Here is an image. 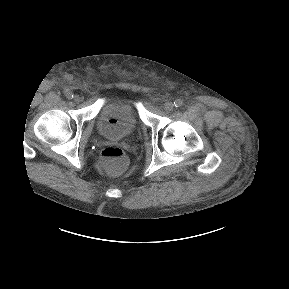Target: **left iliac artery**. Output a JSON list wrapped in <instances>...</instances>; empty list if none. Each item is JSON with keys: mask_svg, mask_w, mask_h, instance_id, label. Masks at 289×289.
Instances as JSON below:
<instances>
[{"mask_svg": "<svg viewBox=\"0 0 289 289\" xmlns=\"http://www.w3.org/2000/svg\"><path fill=\"white\" fill-rule=\"evenodd\" d=\"M183 104L182 100L181 99H177L174 101V106L175 107H181Z\"/></svg>", "mask_w": 289, "mask_h": 289, "instance_id": "left-iliac-artery-1", "label": "left iliac artery"}]
</instances>
